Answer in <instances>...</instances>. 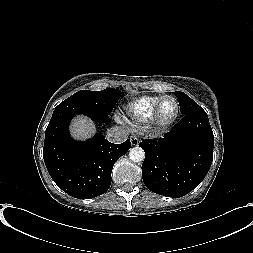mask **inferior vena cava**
Instances as JSON below:
<instances>
[{"instance_id":"obj_1","label":"inferior vena cava","mask_w":253,"mask_h":253,"mask_svg":"<svg viewBox=\"0 0 253 253\" xmlns=\"http://www.w3.org/2000/svg\"><path fill=\"white\" fill-rule=\"evenodd\" d=\"M127 134V131L122 128L112 127L107 131L106 138L110 142L121 143L127 139Z\"/></svg>"}]
</instances>
